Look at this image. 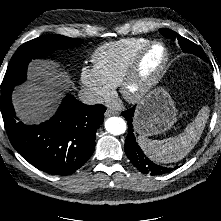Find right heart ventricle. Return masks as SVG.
<instances>
[{"instance_id":"obj_1","label":"right heart ventricle","mask_w":221,"mask_h":221,"mask_svg":"<svg viewBox=\"0 0 221 221\" xmlns=\"http://www.w3.org/2000/svg\"><path fill=\"white\" fill-rule=\"evenodd\" d=\"M149 42L146 38H124L104 43L92 55L94 68L107 83L115 87L136 53Z\"/></svg>"}]
</instances>
